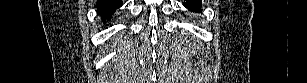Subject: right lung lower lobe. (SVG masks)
<instances>
[{
	"mask_svg": "<svg viewBox=\"0 0 307 83\" xmlns=\"http://www.w3.org/2000/svg\"><path fill=\"white\" fill-rule=\"evenodd\" d=\"M121 6V0H98L96 2V8L103 20H110L112 14Z\"/></svg>",
	"mask_w": 307,
	"mask_h": 83,
	"instance_id": "obj_1",
	"label": "right lung lower lobe"
}]
</instances>
